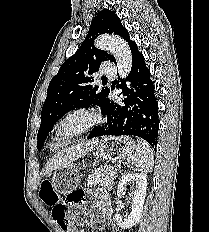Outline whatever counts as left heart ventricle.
<instances>
[{"mask_svg": "<svg viewBox=\"0 0 209 232\" xmlns=\"http://www.w3.org/2000/svg\"><path fill=\"white\" fill-rule=\"evenodd\" d=\"M84 120L83 118L81 117H76L74 119H72L71 121H69L67 124H66V128L67 129H76L78 128L79 126H81L83 124Z\"/></svg>", "mask_w": 209, "mask_h": 232, "instance_id": "left-heart-ventricle-1", "label": "left heart ventricle"}]
</instances>
